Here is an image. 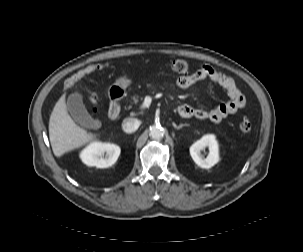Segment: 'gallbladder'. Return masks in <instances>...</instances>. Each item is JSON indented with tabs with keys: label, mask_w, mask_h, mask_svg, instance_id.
<instances>
[{
	"label": "gallbladder",
	"mask_w": 303,
	"mask_h": 252,
	"mask_svg": "<svg viewBox=\"0 0 303 252\" xmlns=\"http://www.w3.org/2000/svg\"><path fill=\"white\" fill-rule=\"evenodd\" d=\"M68 110L74 121L81 127L88 128L92 123V117L85 108L80 94H72L68 98Z\"/></svg>",
	"instance_id": "1"
}]
</instances>
